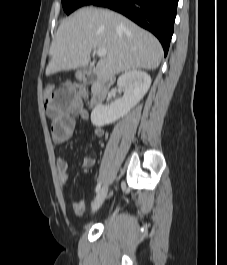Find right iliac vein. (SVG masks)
I'll list each match as a JSON object with an SVG mask.
<instances>
[{
  "label": "right iliac vein",
  "instance_id": "obj_1",
  "mask_svg": "<svg viewBox=\"0 0 227 265\" xmlns=\"http://www.w3.org/2000/svg\"><path fill=\"white\" fill-rule=\"evenodd\" d=\"M107 192H108V186L105 185L98 192L96 198L92 202V205H91L92 212H95V211H97L100 208V206L102 205V203L104 202V200H105V198L107 196Z\"/></svg>",
  "mask_w": 227,
  "mask_h": 265
}]
</instances>
